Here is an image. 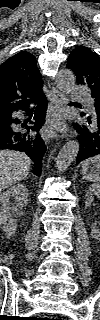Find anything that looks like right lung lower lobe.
Here are the masks:
<instances>
[{
  "label": "right lung lower lobe",
  "instance_id": "right-lung-lower-lobe-1",
  "mask_svg": "<svg viewBox=\"0 0 100 320\" xmlns=\"http://www.w3.org/2000/svg\"><path fill=\"white\" fill-rule=\"evenodd\" d=\"M32 102L36 103L33 120L30 126L22 125L26 129L16 128L13 124L20 123V120L12 117L0 119V149H12L26 153L35 163L33 173L41 174L42 158L46 151L44 142L38 133L45 122L46 100L44 94H40ZM29 104L22 105L18 109L27 111ZM17 109V110H18Z\"/></svg>",
  "mask_w": 100,
  "mask_h": 320
}]
</instances>
